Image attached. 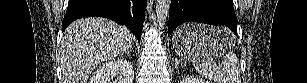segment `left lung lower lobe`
<instances>
[{
  "instance_id": "0a47b994",
  "label": "left lung lower lobe",
  "mask_w": 307,
  "mask_h": 83,
  "mask_svg": "<svg viewBox=\"0 0 307 83\" xmlns=\"http://www.w3.org/2000/svg\"><path fill=\"white\" fill-rule=\"evenodd\" d=\"M188 21L226 25L237 33L238 22L232 0H171L168 35Z\"/></svg>"
}]
</instances>
